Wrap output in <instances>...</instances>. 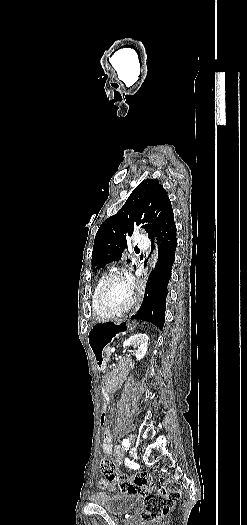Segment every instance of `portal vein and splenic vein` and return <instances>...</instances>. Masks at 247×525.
<instances>
[{"mask_svg":"<svg viewBox=\"0 0 247 525\" xmlns=\"http://www.w3.org/2000/svg\"><path fill=\"white\" fill-rule=\"evenodd\" d=\"M115 347H110V353H114Z\"/></svg>","mask_w":247,"mask_h":525,"instance_id":"18ae733b","label":"portal vein and splenic vein"}]
</instances>
